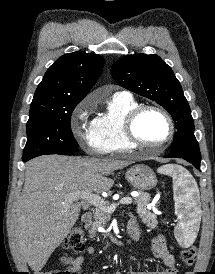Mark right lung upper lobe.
I'll return each mask as SVG.
<instances>
[{
    "label": "right lung upper lobe",
    "mask_w": 215,
    "mask_h": 274,
    "mask_svg": "<svg viewBox=\"0 0 215 274\" xmlns=\"http://www.w3.org/2000/svg\"><path fill=\"white\" fill-rule=\"evenodd\" d=\"M104 60L83 51L57 59L38 85L32 103L80 102L96 83Z\"/></svg>",
    "instance_id": "obj_1"
}]
</instances>
